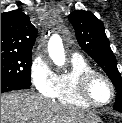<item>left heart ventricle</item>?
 Segmentation results:
<instances>
[{
  "label": "left heart ventricle",
  "instance_id": "obj_1",
  "mask_svg": "<svg viewBox=\"0 0 122 123\" xmlns=\"http://www.w3.org/2000/svg\"><path fill=\"white\" fill-rule=\"evenodd\" d=\"M91 96L98 102H105L111 96V90L106 81L101 78L96 79L90 88Z\"/></svg>",
  "mask_w": 122,
  "mask_h": 123
}]
</instances>
